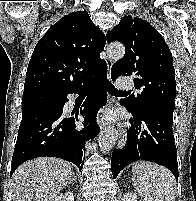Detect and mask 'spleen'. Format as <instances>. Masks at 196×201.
<instances>
[{
	"label": "spleen",
	"mask_w": 196,
	"mask_h": 201,
	"mask_svg": "<svg viewBox=\"0 0 196 201\" xmlns=\"http://www.w3.org/2000/svg\"><path fill=\"white\" fill-rule=\"evenodd\" d=\"M132 172L133 185L143 201H175L176 181L168 169L142 162Z\"/></svg>",
	"instance_id": "spleen-1"
}]
</instances>
